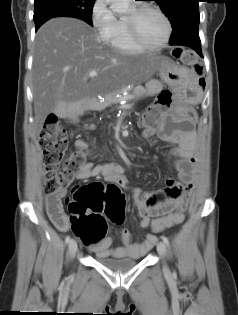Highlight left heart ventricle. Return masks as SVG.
<instances>
[{
  "label": "left heart ventricle",
  "mask_w": 238,
  "mask_h": 315,
  "mask_svg": "<svg viewBox=\"0 0 238 315\" xmlns=\"http://www.w3.org/2000/svg\"><path fill=\"white\" fill-rule=\"evenodd\" d=\"M137 28L140 38L149 45L159 44L163 41L166 35V25L163 19L157 13L152 11L144 12L139 16L137 20Z\"/></svg>",
  "instance_id": "b2bd125f"
}]
</instances>
